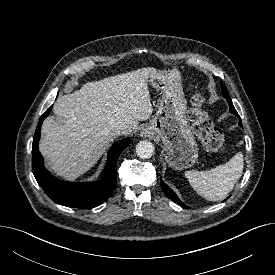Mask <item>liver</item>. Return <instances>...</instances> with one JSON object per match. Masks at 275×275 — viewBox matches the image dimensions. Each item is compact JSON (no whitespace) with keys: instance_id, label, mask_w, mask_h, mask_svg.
Returning a JSON list of instances; mask_svg holds the SVG:
<instances>
[{"instance_id":"6515ba94","label":"liver","mask_w":275,"mask_h":275,"mask_svg":"<svg viewBox=\"0 0 275 275\" xmlns=\"http://www.w3.org/2000/svg\"><path fill=\"white\" fill-rule=\"evenodd\" d=\"M152 67L107 77L84 84L54 104V114L42 124L39 150L58 176L75 179L92 168L110 143L116 130L127 134L152 112L148 78Z\"/></svg>"}]
</instances>
